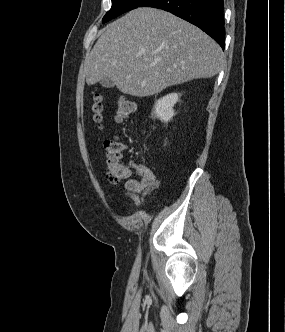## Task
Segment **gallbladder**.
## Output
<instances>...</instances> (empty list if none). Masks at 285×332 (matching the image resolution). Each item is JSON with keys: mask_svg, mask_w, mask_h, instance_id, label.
<instances>
[{"mask_svg": "<svg viewBox=\"0 0 285 332\" xmlns=\"http://www.w3.org/2000/svg\"><path fill=\"white\" fill-rule=\"evenodd\" d=\"M100 84L105 88H113L115 86L114 82L108 77L102 78Z\"/></svg>", "mask_w": 285, "mask_h": 332, "instance_id": "bac80fb5", "label": "gallbladder"}]
</instances>
